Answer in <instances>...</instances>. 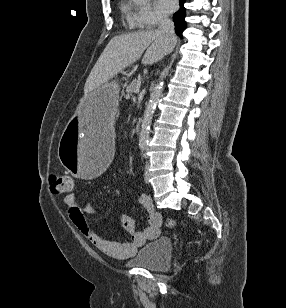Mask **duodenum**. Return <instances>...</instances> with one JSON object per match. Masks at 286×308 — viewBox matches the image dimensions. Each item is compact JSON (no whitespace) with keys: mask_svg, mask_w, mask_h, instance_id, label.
<instances>
[{"mask_svg":"<svg viewBox=\"0 0 286 308\" xmlns=\"http://www.w3.org/2000/svg\"><path fill=\"white\" fill-rule=\"evenodd\" d=\"M135 130H136L137 132H139V131L141 130V121H137V122L135 123Z\"/></svg>","mask_w":286,"mask_h":308,"instance_id":"obj_1","label":"duodenum"}]
</instances>
